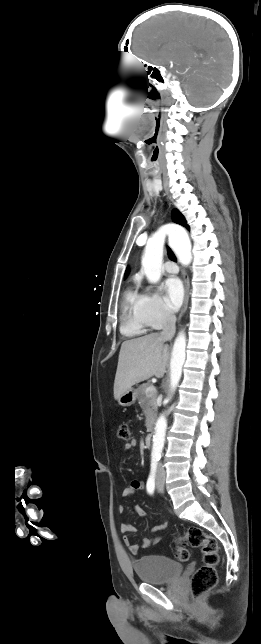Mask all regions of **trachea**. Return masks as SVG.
I'll return each instance as SVG.
<instances>
[{
  "mask_svg": "<svg viewBox=\"0 0 261 644\" xmlns=\"http://www.w3.org/2000/svg\"><path fill=\"white\" fill-rule=\"evenodd\" d=\"M168 256L171 260L176 261V257L171 249L168 248Z\"/></svg>",
  "mask_w": 261,
  "mask_h": 644,
  "instance_id": "trachea-1",
  "label": "trachea"
}]
</instances>
